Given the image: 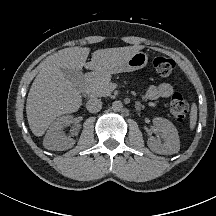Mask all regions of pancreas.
I'll return each mask as SVG.
<instances>
[{"label":"pancreas","mask_w":216,"mask_h":216,"mask_svg":"<svg viewBox=\"0 0 216 216\" xmlns=\"http://www.w3.org/2000/svg\"><path fill=\"white\" fill-rule=\"evenodd\" d=\"M111 77L109 75L98 76L91 80L87 86V92L93 97H104L111 95ZM149 106L154 107L155 104L150 102Z\"/></svg>","instance_id":"pancreas-1"}]
</instances>
